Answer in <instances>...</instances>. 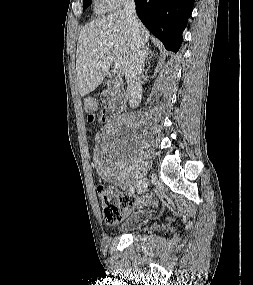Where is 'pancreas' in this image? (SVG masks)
Masks as SVG:
<instances>
[{
	"label": "pancreas",
	"instance_id": "1",
	"mask_svg": "<svg viewBox=\"0 0 253 285\" xmlns=\"http://www.w3.org/2000/svg\"><path fill=\"white\" fill-rule=\"evenodd\" d=\"M113 87H110V96L112 101H116L118 98L123 96V92L121 91L120 87L113 83Z\"/></svg>",
	"mask_w": 253,
	"mask_h": 285
}]
</instances>
